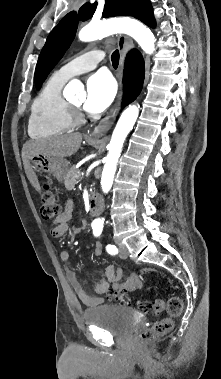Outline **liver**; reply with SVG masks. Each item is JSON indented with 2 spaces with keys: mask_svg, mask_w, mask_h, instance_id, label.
Segmentation results:
<instances>
[{
  "mask_svg": "<svg viewBox=\"0 0 221 379\" xmlns=\"http://www.w3.org/2000/svg\"><path fill=\"white\" fill-rule=\"evenodd\" d=\"M82 135L72 133L61 136H54L46 139L29 140L22 148V160L26 175L36 190L40 191V185L37 177L30 165V158L34 154H43L44 156L54 158H65L75 154L81 146Z\"/></svg>",
  "mask_w": 221,
  "mask_h": 379,
  "instance_id": "liver-1",
  "label": "liver"
}]
</instances>
